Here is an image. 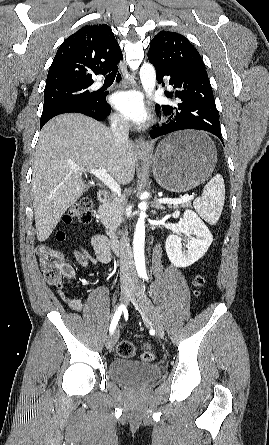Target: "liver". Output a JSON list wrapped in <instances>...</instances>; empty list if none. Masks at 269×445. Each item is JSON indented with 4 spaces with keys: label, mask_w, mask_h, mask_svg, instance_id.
Segmentation results:
<instances>
[{
    "label": "liver",
    "mask_w": 269,
    "mask_h": 445,
    "mask_svg": "<svg viewBox=\"0 0 269 445\" xmlns=\"http://www.w3.org/2000/svg\"><path fill=\"white\" fill-rule=\"evenodd\" d=\"M136 153L118 143L104 124L82 114L59 115L44 125L36 146L32 197L37 239L52 234L66 210L83 194L84 169H105L120 184L135 174Z\"/></svg>",
    "instance_id": "liver-1"
}]
</instances>
